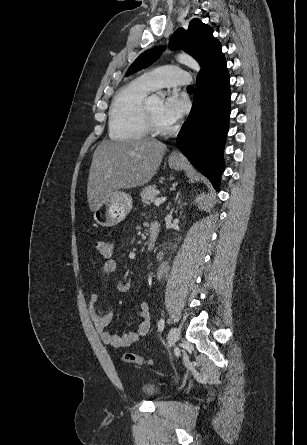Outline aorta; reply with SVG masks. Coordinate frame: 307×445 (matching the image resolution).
Instances as JSON below:
<instances>
[{
    "instance_id": "obj_1",
    "label": "aorta",
    "mask_w": 307,
    "mask_h": 445,
    "mask_svg": "<svg viewBox=\"0 0 307 445\" xmlns=\"http://www.w3.org/2000/svg\"><path fill=\"white\" fill-rule=\"evenodd\" d=\"M178 62L180 64H186V66H190V68H193V70H196V72H199L201 66L193 56H190V54H187V52H180V54H177L176 56ZM163 96L164 92L163 90H158L156 94H152V96H149L147 102L148 104H153V102H158V104H163Z\"/></svg>"
}]
</instances>
